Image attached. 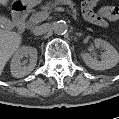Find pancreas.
<instances>
[{
  "instance_id": "pancreas-1",
  "label": "pancreas",
  "mask_w": 119,
  "mask_h": 119,
  "mask_svg": "<svg viewBox=\"0 0 119 119\" xmlns=\"http://www.w3.org/2000/svg\"><path fill=\"white\" fill-rule=\"evenodd\" d=\"M58 5H69L72 9L74 7V4L70 1V0H54L53 2H50V3H47V5L45 6H42V9L44 10V13H51L53 11V9H55ZM73 12H74V19H76V10L73 9ZM43 13V12H41ZM39 13L37 12L36 14H33L30 18V22L31 23H38L36 20H35V16L38 15Z\"/></svg>"
}]
</instances>
